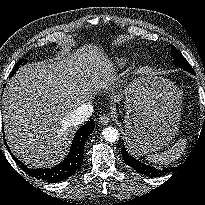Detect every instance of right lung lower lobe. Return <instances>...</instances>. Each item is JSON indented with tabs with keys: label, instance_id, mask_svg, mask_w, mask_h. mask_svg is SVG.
Masks as SVG:
<instances>
[{
	"label": "right lung lower lobe",
	"instance_id": "1",
	"mask_svg": "<svg viewBox=\"0 0 205 205\" xmlns=\"http://www.w3.org/2000/svg\"><path fill=\"white\" fill-rule=\"evenodd\" d=\"M94 129V121H90L82 126L74 136L70 152L66 159L60 164L50 169H32L29 170L25 165L18 161L13 154L11 156L18 163L22 170H25L29 175L36 178H41L52 183H57L65 180L69 176L75 173V171L83 163L84 144L88 136ZM8 148V146L6 145ZM9 149V148H8Z\"/></svg>",
	"mask_w": 205,
	"mask_h": 205
}]
</instances>
